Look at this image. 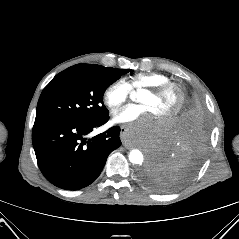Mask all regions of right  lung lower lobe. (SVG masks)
Here are the masks:
<instances>
[{
  "instance_id": "right-lung-lower-lobe-1",
  "label": "right lung lower lobe",
  "mask_w": 239,
  "mask_h": 239,
  "mask_svg": "<svg viewBox=\"0 0 239 239\" xmlns=\"http://www.w3.org/2000/svg\"><path fill=\"white\" fill-rule=\"evenodd\" d=\"M109 114L95 121L35 120L32 142L44 177L57 187L78 190L100 175L108 155L121 145L120 128L112 127L89 139L87 134L105 124Z\"/></svg>"
}]
</instances>
